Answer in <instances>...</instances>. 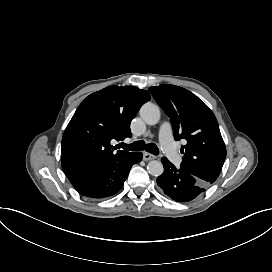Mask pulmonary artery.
I'll list each match as a JSON object with an SVG mask.
<instances>
[{"label":"pulmonary artery","instance_id":"1","mask_svg":"<svg viewBox=\"0 0 272 272\" xmlns=\"http://www.w3.org/2000/svg\"><path fill=\"white\" fill-rule=\"evenodd\" d=\"M171 133L169 124L162 125L159 133V144L162 152L170 157L172 163L182 166L184 161L180 159L177 152H175L176 145Z\"/></svg>","mask_w":272,"mask_h":272}]
</instances>
